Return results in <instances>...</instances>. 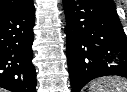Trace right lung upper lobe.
Segmentation results:
<instances>
[{
  "label": "right lung upper lobe",
  "instance_id": "obj_1",
  "mask_svg": "<svg viewBox=\"0 0 127 92\" xmlns=\"http://www.w3.org/2000/svg\"><path fill=\"white\" fill-rule=\"evenodd\" d=\"M32 4V0H0V14L27 8Z\"/></svg>",
  "mask_w": 127,
  "mask_h": 92
}]
</instances>
